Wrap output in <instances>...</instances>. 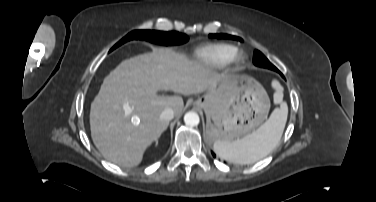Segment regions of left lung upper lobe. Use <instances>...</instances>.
Wrapping results in <instances>:
<instances>
[{
	"label": "left lung upper lobe",
	"mask_w": 376,
	"mask_h": 202,
	"mask_svg": "<svg viewBox=\"0 0 376 202\" xmlns=\"http://www.w3.org/2000/svg\"><path fill=\"white\" fill-rule=\"evenodd\" d=\"M209 37L217 38V39H231V40L242 41L240 37L232 36L228 34H210ZM253 62L256 66L268 68L276 72H279V70L272 63H270V61L258 50H255L254 52Z\"/></svg>",
	"instance_id": "5c2ea615"
}]
</instances>
